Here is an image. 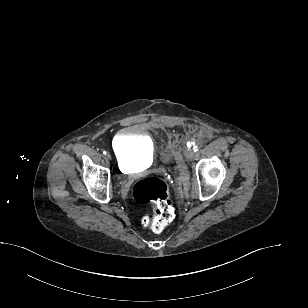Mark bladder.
Wrapping results in <instances>:
<instances>
[{
	"mask_svg": "<svg viewBox=\"0 0 308 308\" xmlns=\"http://www.w3.org/2000/svg\"><path fill=\"white\" fill-rule=\"evenodd\" d=\"M112 149L123 170L145 165L154 159V143L137 125L122 129L113 139Z\"/></svg>",
	"mask_w": 308,
	"mask_h": 308,
	"instance_id": "1",
	"label": "bladder"
}]
</instances>
